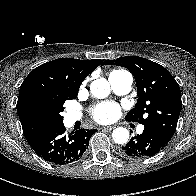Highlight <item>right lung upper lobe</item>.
Instances as JSON below:
<instances>
[{"label":"right lung upper lobe","instance_id":"1","mask_svg":"<svg viewBox=\"0 0 196 196\" xmlns=\"http://www.w3.org/2000/svg\"><path fill=\"white\" fill-rule=\"evenodd\" d=\"M102 62L99 59L61 58L44 63L29 73L20 87L16 105L28 142L53 127L38 109L39 101L46 97L78 94L82 81Z\"/></svg>","mask_w":196,"mask_h":196}]
</instances>
